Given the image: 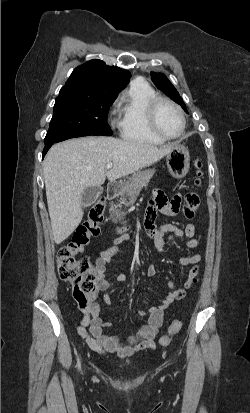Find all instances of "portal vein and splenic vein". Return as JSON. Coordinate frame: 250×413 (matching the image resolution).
Here are the masks:
<instances>
[{
	"label": "portal vein and splenic vein",
	"mask_w": 250,
	"mask_h": 413,
	"mask_svg": "<svg viewBox=\"0 0 250 413\" xmlns=\"http://www.w3.org/2000/svg\"><path fill=\"white\" fill-rule=\"evenodd\" d=\"M112 166H113V164H112L111 162H110V163H107L106 169H110Z\"/></svg>",
	"instance_id": "1"
}]
</instances>
